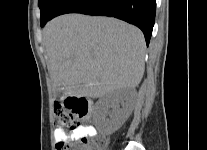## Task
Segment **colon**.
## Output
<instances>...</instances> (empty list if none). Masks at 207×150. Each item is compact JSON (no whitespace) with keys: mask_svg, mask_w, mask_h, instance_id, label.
Listing matches in <instances>:
<instances>
[{"mask_svg":"<svg viewBox=\"0 0 207 150\" xmlns=\"http://www.w3.org/2000/svg\"><path fill=\"white\" fill-rule=\"evenodd\" d=\"M88 101L77 99L62 100L54 106V124L57 127L72 130L86 126ZM105 141L102 138L64 139L57 142V150H103Z\"/></svg>","mask_w":207,"mask_h":150,"instance_id":"obj_1","label":"colon"}]
</instances>
